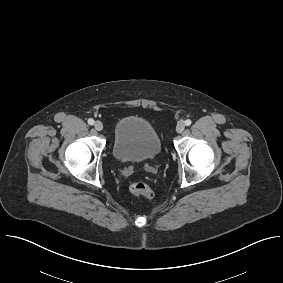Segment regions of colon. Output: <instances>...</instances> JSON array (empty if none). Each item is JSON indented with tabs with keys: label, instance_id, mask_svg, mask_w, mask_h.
<instances>
[{
	"label": "colon",
	"instance_id": "1",
	"mask_svg": "<svg viewBox=\"0 0 283 283\" xmlns=\"http://www.w3.org/2000/svg\"><path fill=\"white\" fill-rule=\"evenodd\" d=\"M130 191L138 196H142L146 199H152L154 197V191L144 181H135L130 185Z\"/></svg>",
	"mask_w": 283,
	"mask_h": 283
}]
</instances>
